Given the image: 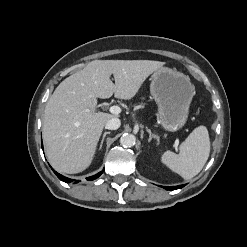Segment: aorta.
<instances>
[{
	"mask_svg": "<svg viewBox=\"0 0 247 247\" xmlns=\"http://www.w3.org/2000/svg\"><path fill=\"white\" fill-rule=\"evenodd\" d=\"M136 137L133 134H124L120 138V144L125 148H130L135 145Z\"/></svg>",
	"mask_w": 247,
	"mask_h": 247,
	"instance_id": "762f6f07",
	"label": "aorta"
}]
</instances>
